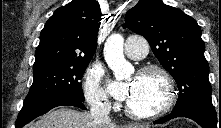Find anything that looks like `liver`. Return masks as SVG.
<instances>
[{
  "label": "liver",
  "instance_id": "6515ba94",
  "mask_svg": "<svg viewBox=\"0 0 221 128\" xmlns=\"http://www.w3.org/2000/svg\"><path fill=\"white\" fill-rule=\"evenodd\" d=\"M27 128H121L109 121L96 122L87 112L70 108H57ZM126 128H150V125H128Z\"/></svg>",
  "mask_w": 221,
  "mask_h": 128
}]
</instances>
